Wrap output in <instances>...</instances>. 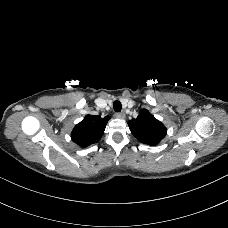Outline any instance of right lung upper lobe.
Returning <instances> with one entry per match:
<instances>
[{
    "label": "right lung upper lobe",
    "mask_w": 228,
    "mask_h": 228,
    "mask_svg": "<svg viewBox=\"0 0 228 228\" xmlns=\"http://www.w3.org/2000/svg\"><path fill=\"white\" fill-rule=\"evenodd\" d=\"M110 116L86 115L71 132L72 140L81 147H87L100 140Z\"/></svg>",
    "instance_id": "cb5924a9"
}]
</instances>
